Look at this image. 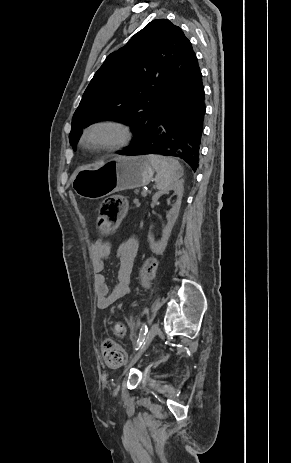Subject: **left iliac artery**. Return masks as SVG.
Here are the masks:
<instances>
[{
	"label": "left iliac artery",
	"instance_id": "1",
	"mask_svg": "<svg viewBox=\"0 0 291 463\" xmlns=\"http://www.w3.org/2000/svg\"><path fill=\"white\" fill-rule=\"evenodd\" d=\"M147 332H148V327L146 324H143L140 334H139V338L137 340V345L135 348L136 350H138V347L141 346V344L144 342Z\"/></svg>",
	"mask_w": 291,
	"mask_h": 463
}]
</instances>
